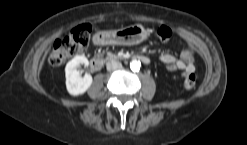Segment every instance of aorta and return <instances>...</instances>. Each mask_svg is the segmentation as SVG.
<instances>
[{
	"label": "aorta",
	"mask_w": 247,
	"mask_h": 145,
	"mask_svg": "<svg viewBox=\"0 0 247 145\" xmlns=\"http://www.w3.org/2000/svg\"><path fill=\"white\" fill-rule=\"evenodd\" d=\"M140 67H141V62L139 60H132L130 62V68H131V70H133V71H139Z\"/></svg>",
	"instance_id": "aorta-1"
}]
</instances>
